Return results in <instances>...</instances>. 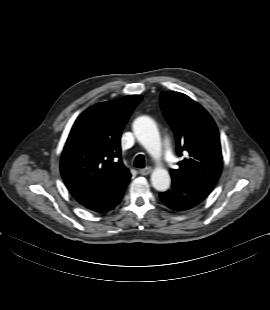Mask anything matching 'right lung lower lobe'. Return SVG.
Wrapping results in <instances>:
<instances>
[{"mask_svg":"<svg viewBox=\"0 0 270 310\" xmlns=\"http://www.w3.org/2000/svg\"><path fill=\"white\" fill-rule=\"evenodd\" d=\"M130 177V174L126 175L102 193L78 202L87 209L96 212H108L121 201Z\"/></svg>","mask_w":270,"mask_h":310,"instance_id":"98d812e1","label":"right lung lower lobe"}]
</instances>
